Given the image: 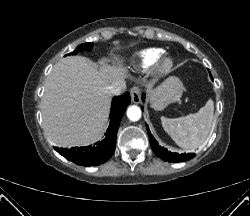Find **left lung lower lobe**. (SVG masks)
I'll list each match as a JSON object with an SVG mask.
<instances>
[{
	"instance_id": "left-lung-lower-lobe-1",
	"label": "left lung lower lobe",
	"mask_w": 250,
	"mask_h": 216,
	"mask_svg": "<svg viewBox=\"0 0 250 216\" xmlns=\"http://www.w3.org/2000/svg\"><path fill=\"white\" fill-rule=\"evenodd\" d=\"M144 98H145V94H143L142 96L143 101H144ZM142 110H143V107H142ZM146 127H147L149 141H150L152 150L156 154V156H158L162 160H165L167 162H181V161L190 160L195 156L194 153H188V154L172 153L168 151L167 149H165L164 147L159 146L158 142L155 140V138L152 136L151 132L149 131L147 125Z\"/></svg>"
}]
</instances>
